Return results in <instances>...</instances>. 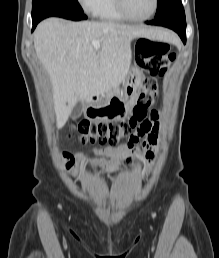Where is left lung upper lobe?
Listing matches in <instances>:
<instances>
[{
	"label": "left lung upper lobe",
	"mask_w": 219,
	"mask_h": 258,
	"mask_svg": "<svg viewBox=\"0 0 219 258\" xmlns=\"http://www.w3.org/2000/svg\"><path fill=\"white\" fill-rule=\"evenodd\" d=\"M157 3L158 6L155 19L172 15L185 16L181 0H157Z\"/></svg>",
	"instance_id": "obj_1"
}]
</instances>
